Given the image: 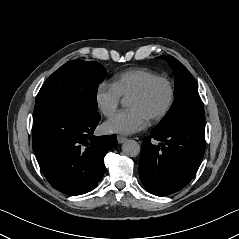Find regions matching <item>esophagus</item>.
<instances>
[{"instance_id": "esophagus-1", "label": "esophagus", "mask_w": 239, "mask_h": 239, "mask_svg": "<svg viewBox=\"0 0 239 239\" xmlns=\"http://www.w3.org/2000/svg\"><path fill=\"white\" fill-rule=\"evenodd\" d=\"M126 140H127V138L125 136H122V135L117 136V141L119 144L125 142Z\"/></svg>"}]
</instances>
